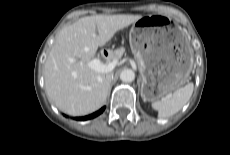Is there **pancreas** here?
I'll use <instances>...</instances> for the list:
<instances>
[{"instance_id":"pancreas-1","label":"pancreas","mask_w":230,"mask_h":155,"mask_svg":"<svg viewBox=\"0 0 230 155\" xmlns=\"http://www.w3.org/2000/svg\"><path fill=\"white\" fill-rule=\"evenodd\" d=\"M124 51L125 50L123 48H119L117 50L112 51V53L110 54V57H109L108 61L119 59L123 55Z\"/></svg>"}]
</instances>
